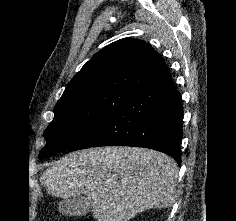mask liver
Returning a JSON list of instances; mask_svg holds the SVG:
<instances>
[{
  "instance_id": "liver-1",
  "label": "liver",
  "mask_w": 236,
  "mask_h": 221,
  "mask_svg": "<svg viewBox=\"0 0 236 221\" xmlns=\"http://www.w3.org/2000/svg\"><path fill=\"white\" fill-rule=\"evenodd\" d=\"M177 163L161 152L138 147L90 148L72 152L41 175L48 194L85 195L97 221H129L176 198Z\"/></svg>"
}]
</instances>
